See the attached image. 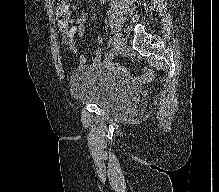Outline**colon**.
Segmentation results:
<instances>
[{"mask_svg": "<svg viewBox=\"0 0 219 192\" xmlns=\"http://www.w3.org/2000/svg\"><path fill=\"white\" fill-rule=\"evenodd\" d=\"M53 4L56 8H62L65 4V0H53ZM60 25H66L63 19L60 21Z\"/></svg>", "mask_w": 219, "mask_h": 192, "instance_id": "5ec220e1", "label": "colon"}]
</instances>
